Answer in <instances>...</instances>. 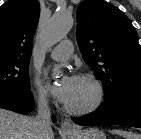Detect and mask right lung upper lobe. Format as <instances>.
Listing matches in <instances>:
<instances>
[{
    "label": "right lung upper lobe",
    "instance_id": "cb5924a9",
    "mask_svg": "<svg viewBox=\"0 0 141 139\" xmlns=\"http://www.w3.org/2000/svg\"><path fill=\"white\" fill-rule=\"evenodd\" d=\"M39 14L37 0H9L0 7V58H30Z\"/></svg>",
    "mask_w": 141,
    "mask_h": 139
}]
</instances>
